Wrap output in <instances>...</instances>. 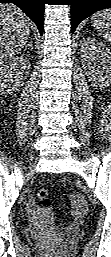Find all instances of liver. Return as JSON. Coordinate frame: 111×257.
<instances>
[{"label":"liver","mask_w":111,"mask_h":257,"mask_svg":"<svg viewBox=\"0 0 111 257\" xmlns=\"http://www.w3.org/2000/svg\"><path fill=\"white\" fill-rule=\"evenodd\" d=\"M31 22L18 7L0 5V65L4 67L26 45Z\"/></svg>","instance_id":"1"}]
</instances>
